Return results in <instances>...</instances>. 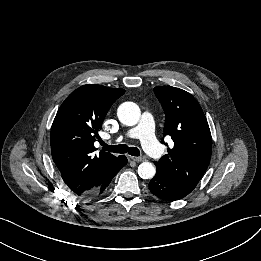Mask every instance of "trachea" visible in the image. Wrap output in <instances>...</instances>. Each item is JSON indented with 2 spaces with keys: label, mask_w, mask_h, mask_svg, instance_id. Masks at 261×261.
<instances>
[{
  "label": "trachea",
  "mask_w": 261,
  "mask_h": 261,
  "mask_svg": "<svg viewBox=\"0 0 261 261\" xmlns=\"http://www.w3.org/2000/svg\"><path fill=\"white\" fill-rule=\"evenodd\" d=\"M103 146V150L109 151V152H113V153H129L132 156H139L140 155V151L137 147H128L125 144H119V145H108L104 142L101 143Z\"/></svg>",
  "instance_id": "1"
}]
</instances>
